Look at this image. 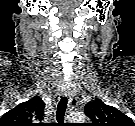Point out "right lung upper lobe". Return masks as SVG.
<instances>
[{
  "label": "right lung upper lobe",
  "mask_w": 135,
  "mask_h": 126,
  "mask_svg": "<svg viewBox=\"0 0 135 126\" xmlns=\"http://www.w3.org/2000/svg\"><path fill=\"white\" fill-rule=\"evenodd\" d=\"M44 107L43 100L35 96L5 113L0 118V126H40Z\"/></svg>",
  "instance_id": "right-lung-upper-lobe-1"
}]
</instances>
